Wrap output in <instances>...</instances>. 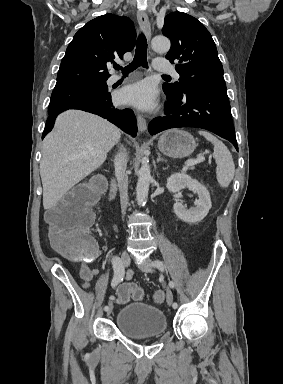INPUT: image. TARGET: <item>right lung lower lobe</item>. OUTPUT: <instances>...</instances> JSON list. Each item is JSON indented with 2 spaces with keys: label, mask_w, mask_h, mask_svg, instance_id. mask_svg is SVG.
Segmentation results:
<instances>
[{
  "label": "right lung lower lobe",
  "mask_w": 283,
  "mask_h": 384,
  "mask_svg": "<svg viewBox=\"0 0 283 384\" xmlns=\"http://www.w3.org/2000/svg\"><path fill=\"white\" fill-rule=\"evenodd\" d=\"M67 109H79L97 114L112 122L133 137L137 134L136 117L133 111L131 109L115 108L112 104L110 95L106 98L85 100L61 108H49V117L47 119L42 138H44L52 130L57 115Z\"/></svg>",
  "instance_id": "1"
}]
</instances>
